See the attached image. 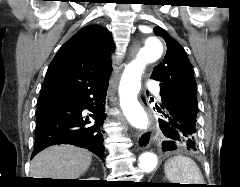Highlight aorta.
Wrapping results in <instances>:
<instances>
[{"label": "aorta", "mask_w": 240, "mask_h": 187, "mask_svg": "<svg viewBox=\"0 0 240 187\" xmlns=\"http://www.w3.org/2000/svg\"><path fill=\"white\" fill-rule=\"evenodd\" d=\"M163 53L161 40L148 36L140 49L137 58L125 67L119 86L120 105L129 123L138 129H146L148 118L142 106L137 101L141 88V76L148 63L158 60ZM158 164L154 152H144L139 157V168L146 173L153 171Z\"/></svg>", "instance_id": "762f6f07"}]
</instances>
